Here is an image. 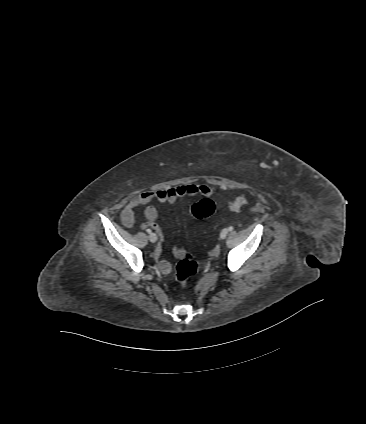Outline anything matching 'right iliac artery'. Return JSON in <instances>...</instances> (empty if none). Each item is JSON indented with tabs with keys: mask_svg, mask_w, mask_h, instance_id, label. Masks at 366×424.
<instances>
[{
	"mask_svg": "<svg viewBox=\"0 0 366 424\" xmlns=\"http://www.w3.org/2000/svg\"><path fill=\"white\" fill-rule=\"evenodd\" d=\"M146 231H147V233H149V234L152 232L150 229H147Z\"/></svg>",
	"mask_w": 366,
	"mask_h": 424,
	"instance_id": "right-iliac-artery-1",
	"label": "right iliac artery"
}]
</instances>
